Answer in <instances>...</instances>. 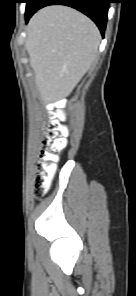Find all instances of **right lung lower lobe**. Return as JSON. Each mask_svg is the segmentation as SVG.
<instances>
[{"instance_id": "right-lung-lower-lobe-1", "label": "right lung lower lobe", "mask_w": 136, "mask_h": 296, "mask_svg": "<svg viewBox=\"0 0 136 296\" xmlns=\"http://www.w3.org/2000/svg\"><path fill=\"white\" fill-rule=\"evenodd\" d=\"M109 3L110 0H33L31 2L32 9L25 14V21L27 23L30 17L44 6L53 4L67 5L91 18L98 26L102 36H104Z\"/></svg>"}]
</instances>
